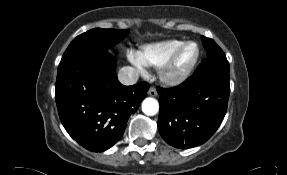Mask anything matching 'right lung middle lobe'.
<instances>
[{
	"label": "right lung middle lobe",
	"instance_id": "obj_1",
	"mask_svg": "<svg viewBox=\"0 0 287 175\" xmlns=\"http://www.w3.org/2000/svg\"><path fill=\"white\" fill-rule=\"evenodd\" d=\"M128 34V30L91 29L77 36L64 52L61 62L82 53L94 50H107L121 41Z\"/></svg>",
	"mask_w": 287,
	"mask_h": 175
}]
</instances>
